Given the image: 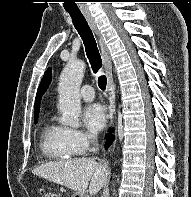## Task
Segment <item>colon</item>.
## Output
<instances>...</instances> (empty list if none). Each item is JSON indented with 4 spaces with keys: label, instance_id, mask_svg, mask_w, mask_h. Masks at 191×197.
<instances>
[{
    "label": "colon",
    "instance_id": "obj_1",
    "mask_svg": "<svg viewBox=\"0 0 191 197\" xmlns=\"http://www.w3.org/2000/svg\"><path fill=\"white\" fill-rule=\"evenodd\" d=\"M41 197H55V195L46 190H41Z\"/></svg>",
    "mask_w": 191,
    "mask_h": 197
}]
</instances>
